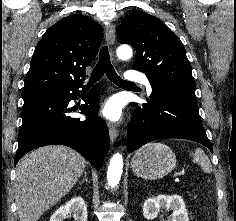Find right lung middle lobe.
I'll return each mask as SVG.
<instances>
[{"label": "right lung middle lobe", "instance_id": "1", "mask_svg": "<svg viewBox=\"0 0 236 221\" xmlns=\"http://www.w3.org/2000/svg\"><path fill=\"white\" fill-rule=\"evenodd\" d=\"M55 91H43V92H38V93H54ZM27 95H23V97H25Z\"/></svg>", "mask_w": 236, "mask_h": 221}]
</instances>
